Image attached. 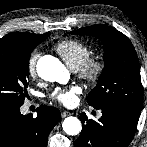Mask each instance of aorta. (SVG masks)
Listing matches in <instances>:
<instances>
[{
    "label": "aorta",
    "mask_w": 147,
    "mask_h": 147,
    "mask_svg": "<svg viewBox=\"0 0 147 147\" xmlns=\"http://www.w3.org/2000/svg\"><path fill=\"white\" fill-rule=\"evenodd\" d=\"M36 70L39 77L49 82L66 84L70 78L64 64L50 55L43 56L37 61ZM62 126L65 133L72 136L79 134L82 129L80 120L73 116L67 117Z\"/></svg>",
    "instance_id": "762f6f07"
}]
</instances>
